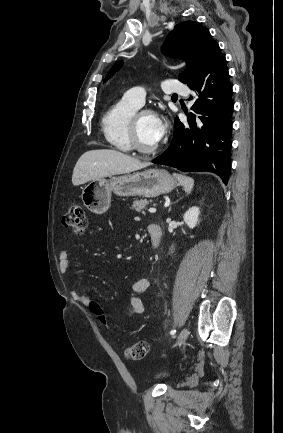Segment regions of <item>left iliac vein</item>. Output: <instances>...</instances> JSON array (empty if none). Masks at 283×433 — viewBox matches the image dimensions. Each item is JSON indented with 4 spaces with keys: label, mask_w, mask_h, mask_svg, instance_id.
Masks as SVG:
<instances>
[{
    "label": "left iliac vein",
    "mask_w": 283,
    "mask_h": 433,
    "mask_svg": "<svg viewBox=\"0 0 283 433\" xmlns=\"http://www.w3.org/2000/svg\"><path fill=\"white\" fill-rule=\"evenodd\" d=\"M189 335V331L187 328H184L180 334L178 335L176 345L181 346L187 339Z\"/></svg>",
    "instance_id": "1"
}]
</instances>
